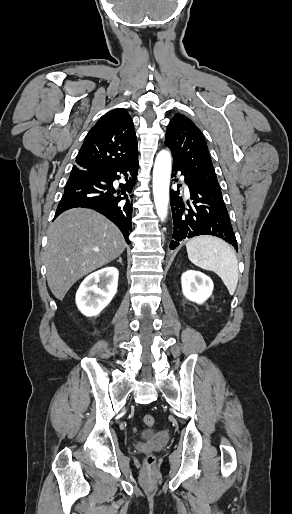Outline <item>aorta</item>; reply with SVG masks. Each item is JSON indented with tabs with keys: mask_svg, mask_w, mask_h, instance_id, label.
I'll return each mask as SVG.
<instances>
[{
	"mask_svg": "<svg viewBox=\"0 0 292 514\" xmlns=\"http://www.w3.org/2000/svg\"><path fill=\"white\" fill-rule=\"evenodd\" d=\"M171 176V154L162 150L153 168V196L156 212L162 222L167 216Z\"/></svg>",
	"mask_w": 292,
	"mask_h": 514,
	"instance_id": "762f6f07",
	"label": "aorta"
}]
</instances>
